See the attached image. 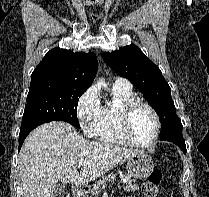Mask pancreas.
Returning <instances> with one entry per match:
<instances>
[{
  "label": "pancreas",
  "instance_id": "obj_1",
  "mask_svg": "<svg viewBox=\"0 0 209 197\" xmlns=\"http://www.w3.org/2000/svg\"><path fill=\"white\" fill-rule=\"evenodd\" d=\"M115 175L116 174L112 172L107 176H103L102 180H98L96 182V184L93 185L91 193L93 195H95V197H97L101 193V190H103L105 188L107 183L114 180ZM124 179H125V182L123 184L124 190H126L128 192L138 190V186L136 184V181L134 179H132L131 176L126 175V176H124Z\"/></svg>",
  "mask_w": 209,
  "mask_h": 197
}]
</instances>
